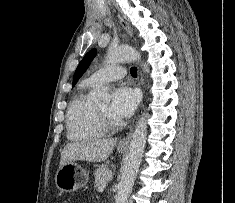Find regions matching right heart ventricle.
I'll use <instances>...</instances> for the list:
<instances>
[{"label": "right heart ventricle", "instance_id": "1", "mask_svg": "<svg viewBox=\"0 0 235 203\" xmlns=\"http://www.w3.org/2000/svg\"><path fill=\"white\" fill-rule=\"evenodd\" d=\"M96 86L87 80L79 87L67 111V135L70 140L83 141L100 138L105 129L100 122L97 106L89 93Z\"/></svg>", "mask_w": 235, "mask_h": 203}]
</instances>
